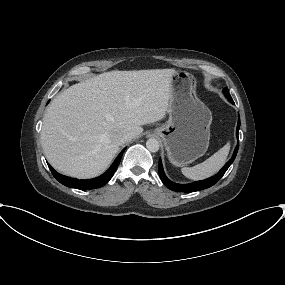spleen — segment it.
Wrapping results in <instances>:
<instances>
[{
	"label": "spleen",
	"instance_id": "1",
	"mask_svg": "<svg viewBox=\"0 0 285 285\" xmlns=\"http://www.w3.org/2000/svg\"><path fill=\"white\" fill-rule=\"evenodd\" d=\"M229 150L230 143L228 142L203 163L193 167H183L181 169L182 174L192 180H202L214 175L225 164Z\"/></svg>",
	"mask_w": 285,
	"mask_h": 285
}]
</instances>
